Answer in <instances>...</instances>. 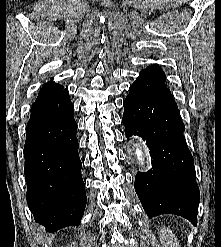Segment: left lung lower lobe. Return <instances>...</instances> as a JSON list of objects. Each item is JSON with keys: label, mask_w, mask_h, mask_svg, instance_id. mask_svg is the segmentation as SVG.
<instances>
[{"label": "left lung lower lobe", "mask_w": 221, "mask_h": 247, "mask_svg": "<svg viewBox=\"0 0 221 247\" xmlns=\"http://www.w3.org/2000/svg\"><path fill=\"white\" fill-rule=\"evenodd\" d=\"M123 106L126 137L138 135L150 149L152 169L138 172L134 184L148 217L176 214L196 225L200 194L177 105L148 96L132 85Z\"/></svg>", "instance_id": "left-lung-lower-lobe-1"}]
</instances>
